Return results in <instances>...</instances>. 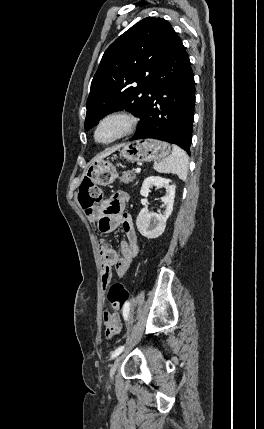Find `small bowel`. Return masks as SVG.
<instances>
[{"label":"small bowel","instance_id":"1","mask_svg":"<svg viewBox=\"0 0 264 429\" xmlns=\"http://www.w3.org/2000/svg\"><path fill=\"white\" fill-rule=\"evenodd\" d=\"M128 200L129 196L126 192L117 191L91 212H86L88 220L94 223L101 232L109 233L121 226L126 235V239L120 243V254L112 248L107 240H99L101 282L104 293L110 284L112 270L114 269L116 274L123 278L139 251L138 237L132 219L130 215L123 213V208ZM103 323L109 338L122 330L120 316L111 313L107 308L103 312Z\"/></svg>","mask_w":264,"mask_h":429}]
</instances>
